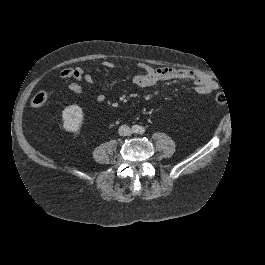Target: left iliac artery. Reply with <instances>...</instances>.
I'll use <instances>...</instances> for the list:
<instances>
[{
    "instance_id": "44dca946",
    "label": "left iliac artery",
    "mask_w": 265,
    "mask_h": 265,
    "mask_svg": "<svg viewBox=\"0 0 265 265\" xmlns=\"http://www.w3.org/2000/svg\"><path fill=\"white\" fill-rule=\"evenodd\" d=\"M143 132H144V129H143V128H141V129H140V133H143Z\"/></svg>"
}]
</instances>
